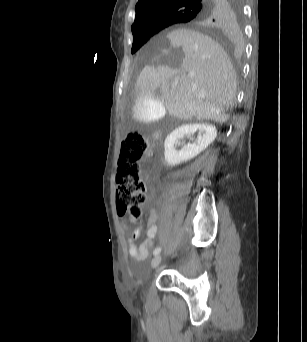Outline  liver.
<instances>
[{"label": "liver", "instance_id": "1", "mask_svg": "<svg viewBox=\"0 0 307 342\" xmlns=\"http://www.w3.org/2000/svg\"><path fill=\"white\" fill-rule=\"evenodd\" d=\"M149 56L136 82V95L160 88L169 116L179 120L227 122L236 94V74L218 42L195 30H173ZM192 74V76H189ZM177 82L170 88V80Z\"/></svg>", "mask_w": 307, "mask_h": 342}]
</instances>
